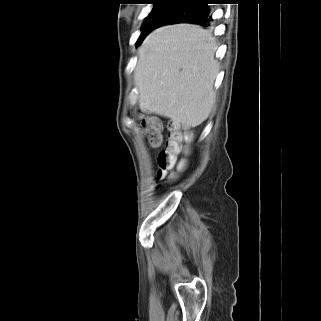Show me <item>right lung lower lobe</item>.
I'll use <instances>...</instances> for the list:
<instances>
[{
	"label": "right lung lower lobe",
	"mask_w": 321,
	"mask_h": 321,
	"mask_svg": "<svg viewBox=\"0 0 321 321\" xmlns=\"http://www.w3.org/2000/svg\"><path fill=\"white\" fill-rule=\"evenodd\" d=\"M211 21L212 17L207 2L204 0H195L173 7L162 16L155 28L176 23H192L209 26Z\"/></svg>",
	"instance_id": "obj_1"
}]
</instances>
